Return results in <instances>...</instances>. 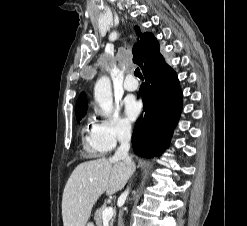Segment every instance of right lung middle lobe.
Instances as JSON below:
<instances>
[{"instance_id":"1","label":"right lung middle lobe","mask_w":247,"mask_h":226,"mask_svg":"<svg viewBox=\"0 0 247 226\" xmlns=\"http://www.w3.org/2000/svg\"><path fill=\"white\" fill-rule=\"evenodd\" d=\"M84 115H85V114L80 115V116H77V120L80 121V119H81Z\"/></svg>"}]
</instances>
